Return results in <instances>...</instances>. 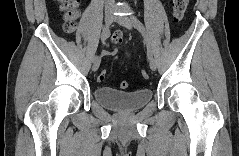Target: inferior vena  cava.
<instances>
[{"mask_svg": "<svg viewBox=\"0 0 239 156\" xmlns=\"http://www.w3.org/2000/svg\"><path fill=\"white\" fill-rule=\"evenodd\" d=\"M108 2H114V0H108Z\"/></svg>", "mask_w": 239, "mask_h": 156, "instance_id": "602c4592", "label": "inferior vena cava"}]
</instances>
